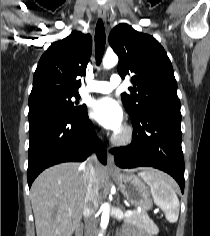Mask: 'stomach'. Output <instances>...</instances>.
Here are the masks:
<instances>
[{"instance_id":"1","label":"stomach","mask_w":210,"mask_h":236,"mask_svg":"<svg viewBox=\"0 0 210 236\" xmlns=\"http://www.w3.org/2000/svg\"><path fill=\"white\" fill-rule=\"evenodd\" d=\"M112 177L131 204L140 207L145 212L152 208L150 191L139 176L119 173Z\"/></svg>"}]
</instances>
